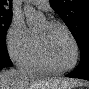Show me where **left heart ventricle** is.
I'll list each match as a JSON object with an SVG mask.
<instances>
[{
  "mask_svg": "<svg viewBox=\"0 0 89 89\" xmlns=\"http://www.w3.org/2000/svg\"><path fill=\"white\" fill-rule=\"evenodd\" d=\"M43 50L55 68H65L74 60V46L66 31L49 22L42 21L35 29Z\"/></svg>",
  "mask_w": 89,
  "mask_h": 89,
  "instance_id": "left-heart-ventricle-1",
  "label": "left heart ventricle"
}]
</instances>
